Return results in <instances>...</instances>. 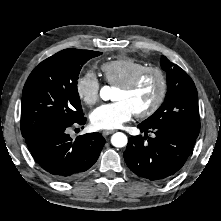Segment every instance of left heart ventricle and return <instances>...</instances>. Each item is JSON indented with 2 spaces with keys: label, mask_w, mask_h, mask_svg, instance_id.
<instances>
[{
  "label": "left heart ventricle",
  "mask_w": 221,
  "mask_h": 221,
  "mask_svg": "<svg viewBox=\"0 0 221 221\" xmlns=\"http://www.w3.org/2000/svg\"><path fill=\"white\" fill-rule=\"evenodd\" d=\"M159 85L157 75L149 73L132 90L124 91L116 89L113 98L115 101L127 102L136 113L145 110L153 103L158 94Z\"/></svg>",
  "instance_id": "b2bd125f"
}]
</instances>
